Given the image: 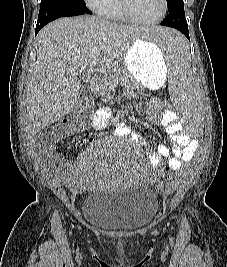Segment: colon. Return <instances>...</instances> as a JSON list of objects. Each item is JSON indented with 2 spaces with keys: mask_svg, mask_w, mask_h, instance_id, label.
I'll use <instances>...</instances> for the list:
<instances>
[{
  "mask_svg": "<svg viewBox=\"0 0 227 267\" xmlns=\"http://www.w3.org/2000/svg\"><path fill=\"white\" fill-rule=\"evenodd\" d=\"M163 109H172V100H163ZM89 110V102L86 99L80 100L76 107L75 122L82 123L86 117ZM68 130V125L63 124L57 126L50 135L46 138L47 140H58L62 138ZM182 176L181 169H164V173H161V179L159 181V190L164 195H169L173 193L175 188V178H180Z\"/></svg>",
  "mask_w": 227,
  "mask_h": 267,
  "instance_id": "5ec220e1",
  "label": "colon"
}]
</instances>
